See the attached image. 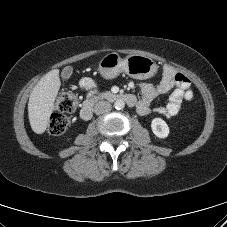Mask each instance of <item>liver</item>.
Returning <instances> with one entry per match:
<instances>
[{"label":"liver","mask_w":227,"mask_h":227,"mask_svg":"<svg viewBox=\"0 0 227 227\" xmlns=\"http://www.w3.org/2000/svg\"><path fill=\"white\" fill-rule=\"evenodd\" d=\"M60 86L59 70L54 69L46 73L31 91L28 116L36 134H42L47 129Z\"/></svg>","instance_id":"1"}]
</instances>
